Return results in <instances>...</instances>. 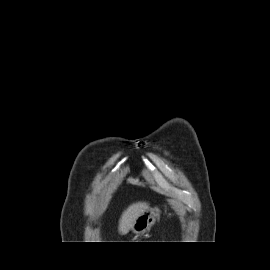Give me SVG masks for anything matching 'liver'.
<instances>
[{"label":"liver","instance_id":"6515ba94","mask_svg":"<svg viewBox=\"0 0 270 270\" xmlns=\"http://www.w3.org/2000/svg\"><path fill=\"white\" fill-rule=\"evenodd\" d=\"M149 208L146 202H137L130 205L121 215L119 220L118 231L120 234H125L131 230L136 219Z\"/></svg>","mask_w":270,"mask_h":270}]
</instances>
